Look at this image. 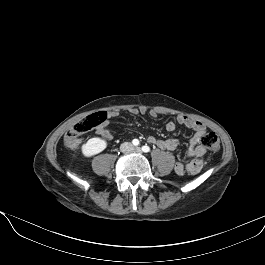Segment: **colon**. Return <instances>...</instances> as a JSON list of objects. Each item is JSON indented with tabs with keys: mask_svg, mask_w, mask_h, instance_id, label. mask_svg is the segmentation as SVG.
Listing matches in <instances>:
<instances>
[{
	"mask_svg": "<svg viewBox=\"0 0 265 265\" xmlns=\"http://www.w3.org/2000/svg\"><path fill=\"white\" fill-rule=\"evenodd\" d=\"M106 117L107 115L103 111H97L85 117L66 133L64 144L68 148L78 147L81 143V136L101 125ZM201 143L212 153H216L220 150V140L214 132L205 133L201 138Z\"/></svg>",
	"mask_w": 265,
	"mask_h": 265,
	"instance_id": "5ec220e1",
	"label": "colon"
}]
</instances>
